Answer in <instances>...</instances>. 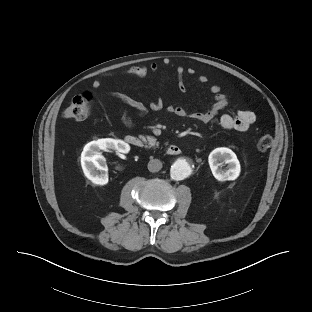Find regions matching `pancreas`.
I'll return each mask as SVG.
<instances>
[{
	"label": "pancreas",
	"instance_id": "obj_1",
	"mask_svg": "<svg viewBox=\"0 0 312 312\" xmlns=\"http://www.w3.org/2000/svg\"><path fill=\"white\" fill-rule=\"evenodd\" d=\"M143 138V140L145 141V138L144 137H142ZM147 141H148V144H149V146L150 147H152V146H158L159 145V143L158 142H156V138H154V137H148L147 138Z\"/></svg>",
	"mask_w": 312,
	"mask_h": 312
}]
</instances>
